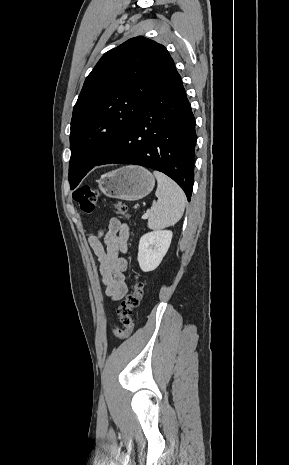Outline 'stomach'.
I'll return each instance as SVG.
<instances>
[{"mask_svg": "<svg viewBox=\"0 0 289 465\" xmlns=\"http://www.w3.org/2000/svg\"><path fill=\"white\" fill-rule=\"evenodd\" d=\"M98 184L108 197L136 201L153 190L155 179L147 169L129 165L102 175Z\"/></svg>", "mask_w": 289, "mask_h": 465, "instance_id": "obj_1", "label": "stomach"}]
</instances>
